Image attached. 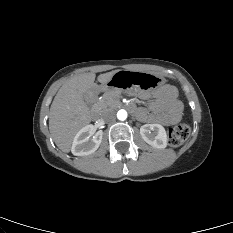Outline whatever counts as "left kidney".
Here are the masks:
<instances>
[{
    "label": "left kidney",
    "instance_id": "1",
    "mask_svg": "<svg viewBox=\"0 0 233 233\" xmlns=\"http://www.w3.org/2000/svg\"><path fill=\"white\" fill-rule=\"evenodd\" d=\"M151 131H155L152 134ZM142 139L149 145L163 149L167 146V135L164 127L160 124H145L140 128Z\"/></svg>",
    "mask_w": 233,
    "mask_h": 233
}]
</instances>
